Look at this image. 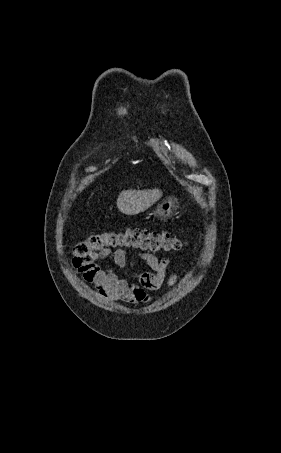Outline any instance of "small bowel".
Listing matches in <instances>:
<instances>
[{
    "mask_svg": "<svg viewBox=\"0 0 281 453\" xmlns=\"http://www.w3.org/2000/svg\"><path fill=\"white\" fill-rule=\"evenodd\" d=\"M109 258L110 267H103L94 261L75 259L74 271L82 282L91 287L106 301H120L128 304L147 302L151 291H157L163 285L172 286L181 278L180 272L169 273L167 267L169 258L160 260L156 255L144 254L140 257H130L119 248L113 252H103ZM140 266L145 269L133 274L132 278L118 275V271L133 270Z\"/></svg>",
    "mask_w": 281,
    "mask_h": 453,
    "instance_id": "obj_1",
    "label": "small bowel"
}]
</instances>
